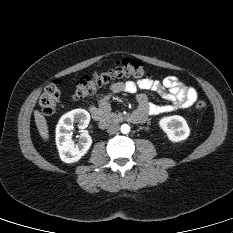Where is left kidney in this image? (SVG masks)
<instances>
[{"label": "left kidney", "mask_w": 233, "mask_h": 233, "mask_svg": "<svg viewBox=\"0 0 233 233\" xmlns=\"http://www.w3.org/2000/svg\"><path fill=\"white\" fill-rule=\"evenodd\" d=\"M159 126L172 142L186 140L190 134V128L186 120L179 115L163 117L159 121Z\"/></svg>", "instance_id": "1"}]
</instances>
